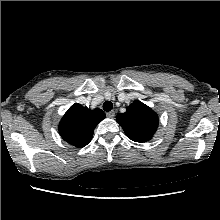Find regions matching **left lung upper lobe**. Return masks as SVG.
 Wrapping results in <instances>:
<instances>
[{"mask_svg":"<svg viewBox=\"0 0 220 220\" xmlns=\"http://www.w3.org/2000/svg\"><path fill=\"white\" fill-rule=\"evenodd\" d=\"M126 135L135 142L149 141L158 127V116L148 106L134 101L125 113L116 118Z\"/></svg>","mask_w":220,"mask_h":220,"instance_id":"5c2ea615","label":"left lung upper lobe"}]
</instances>
